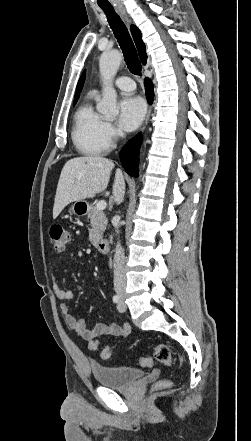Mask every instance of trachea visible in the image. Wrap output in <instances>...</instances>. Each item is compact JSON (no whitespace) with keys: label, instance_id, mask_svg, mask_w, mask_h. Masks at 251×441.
<instances>
[{"label":"trachea","instance_id":"obj_1","mask_svg":"<svg viewBox=\"0 0 251 441\" xmlns=\"http://www.w3.org/2000/svg\"><path fill=\"white\" fill-rule=\"evenodd\" d=\"M102 10L106 14L109 25L122 49L128 69L134 75H141L142 66L127 27L113 8H102Z\"/></svg>","mask_w":251,"mask_h":441}]
</instances>
